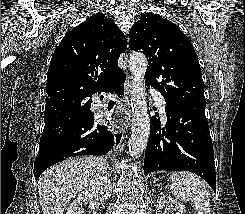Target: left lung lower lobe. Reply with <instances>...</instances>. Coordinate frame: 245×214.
Segmentation results:
<instances>
[{
    "instance_id": "1",
    "label": "left lung lower lobe",
    "mask_w": 245,
    "mask_h": 214,
    "mask_svg": "<svg viewBox=\"0 0 245 214\" xmlns=\"http://www.w3.org/2000/svg\"><path fill=\"white\" fill-rule=\"evenodd\" d=\"M206 104L166 101L167 124L161 128L155 114L145 151L144 174L157 171H190L216 191L214 150L205 116Z\"/></svg>"
}]
</instances>
